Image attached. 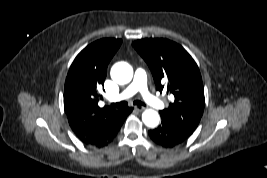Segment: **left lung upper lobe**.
<instances>
[{
    "mask_svg": "<svg viewBox=\"0 0 267 178\" xmlns=\"http://www.w3.org/2000/svg\"><path fill=\"white\" fill-rule=\"evenodd\" d=\"M132 45L148 64L156 89L162 91L167 87L174 95L169 108L160 111L162 119L173 122L190 136L201 120L205 105L197 64L182 46L167 39H141Z\"/></svg>",
    "mask_w": 267,
    "mask_h": 178,
    "instance_id": "obj_1",
    "label": "left lung upper lobe"
}]
</instances>
